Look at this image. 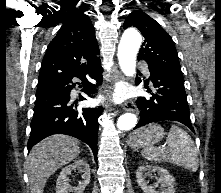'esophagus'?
<instances>
[{
  "label": "esophagus",
  "instance_id": "esophagus-1",
  "mask_svg": "<svg viewBox=\"0 0 221 193\" xmlns=\"http://www.w3.org/2000/svg\"><path fill=\"white\" fill-rule=\"evenodd\" d=\"M123 75L120 71H116L115 74L112 76V79L113 81H117V80H123ZM123 109L125 111H131V112H134L136 114L139 113V110L137 108V106L135 105V103L133 101H128V102H125L123 104Z\"/></svg>",
  "mask_w": 221,
  "mask_h": 193
}]
</instances>
